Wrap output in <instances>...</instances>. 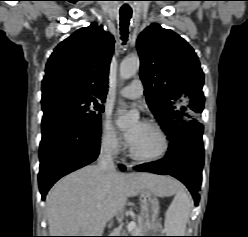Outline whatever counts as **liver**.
<instances>
[{"mask_svg":"<svg viewBox=\"0 0 248 237\" xmlns=\"http://www.w3.org/2000/svg\"><path fill=\"white\" fill-rule=\"evenodd\" d=\"M179 184L149 173H119L98 165L81 168L58 181L46 198L50 236H101L106 223L121 212L128 197L144 189L160 193Z\"/></svg>","mask_w":248,"mask_h":237,"instance_id":"1","label":"liver"}]
</instances>
